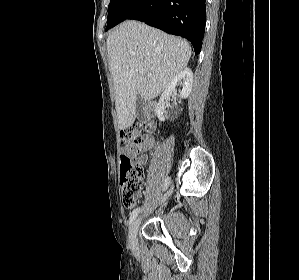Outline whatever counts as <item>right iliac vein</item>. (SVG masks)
Instances as JSON below:
<instances>
[{
  "instance_id": "63e3f726",
  "label": "right iliac vein",
  "mask_w": 299,
  "mask_h": 280,
  "mask_svg": "<svg viewBox=\"0 0 299 280\" xmlns=\"http://www.w3.org/2000/svg\"><path fill=\"white\" fill-rule=\"evenodd\" d=\"M171 192H172V189H170L165 194L162 201L166 200L170 196ZM140 222H141V217H139L135 221H133L129 228V245L133 250L137 249V231H138Z\"/></svg>"
}]
</instances>
